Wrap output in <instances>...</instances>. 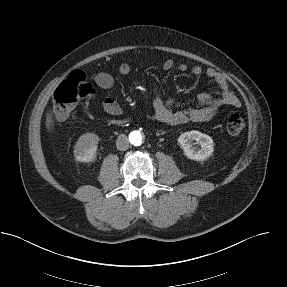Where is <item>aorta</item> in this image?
<instances>
[{"label": "aorta", "mask_w": 287, "mask_h": 287, "mask_svg": "<svg viewBox=\"0 0 287 287\" xmlns=\"http://www.w3.org/2000/svg\"><path fill=\"white\" fill-rule=\"evenodd\" d=\"M142 134L140 131H132L129 135V140L134 145H139L142 143Z\"/></svg>", "instance_id": "aorta-1"}]
</instances>
